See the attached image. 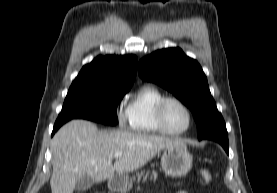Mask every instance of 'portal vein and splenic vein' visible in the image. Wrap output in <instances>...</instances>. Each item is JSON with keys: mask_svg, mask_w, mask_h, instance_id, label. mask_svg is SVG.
I'll return each mask as SVG.
<instances>
[{"mask_svg": "<svg viewBox=\"0 0 277 193\" xmlns=\"http://www.w3.org/2000/svg\"><path fill=\"white\" fill-rule=\"evenodd\" d=\"M122 156H123V154L120 153V152H117V153L114 154V157H115V158H120V157H122Z\"/></svg>", "mask_w": 277, "mask_h": 193, "instance_id": "1", "label": "portal vein and splenic vein"}]
</instances>
